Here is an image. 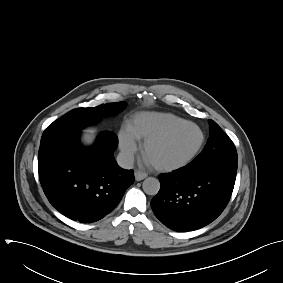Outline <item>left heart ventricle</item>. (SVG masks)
<instances>
[{"instance_id": "left-heart-ventricle-1", "label": "left heart ventricle", "mask_w": 283, "mask_h": 283, "mask_svg": "<svg viewBox=\"0 0 283 283\" xmlns=\"http://www.w3.org/2000/svg\"><path fill=\"white\" fill-rule=\"evenodd\" d=\"M199 139L200 134L196 128L182 126L163 141L149 146L146 150V159L158 165L179 162L193 151Z\"/></svg>"}]
</instances>
